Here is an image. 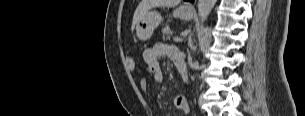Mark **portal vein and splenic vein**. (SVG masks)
Masks as SVG:
<instances>
[{
    "mask_svg": "<svg viewBox=\"0 0 305 116\" xmlns=\"http://www.w3.org/2000/svg\"><path fill=\"white\" fill-rule=\"evenodd\" d=\"M174 41H175V42H180V41H182V38H180V37H174Z\"/></svg>",
    "mask_w": 305,
    "mask_h": 116,
    "instance_id": "obj_1",
    "label": "portal vein and splenic vein"
}]
</instances>
